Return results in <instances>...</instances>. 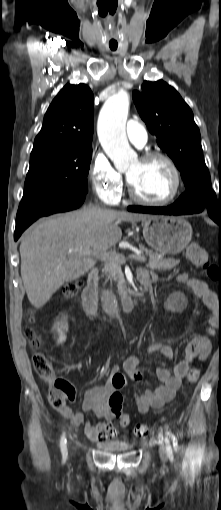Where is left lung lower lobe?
<instances>
[{
    "label": "left lung lower lobe",
    "mask_w": 221,
    "mask_h": 510,
    "mask_svg": "<svg viewBox=\"0 0 221 510\" xmlns=\"http://www.w3.org/2000/svg\"><path fill=\"white\" fill-rule=\"evenodd\" d=\"M129 211L133 212H142V213H151V214H166V215H187L200 213L203 210L198 208H189V207H179L175 205H170L168 207H142V206H129ZM209 216L219 224L221 227V211L210 210L208 211Z\"/></svg>",
    "instance_id": "obj_1"
}]
</instances>
